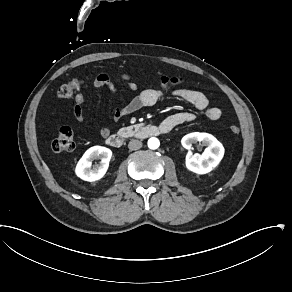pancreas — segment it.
<instances>
[{"mask_svg": "<svg viewBox=\"0 0 292 292\" xmlns=\"http://www.w3.org/2000/svg\"><path fill=\"white\" fill-rule=\"evenodd\" d=\"M140 129L139 125H132L130 127H123L119 129L118 134L122 137L134 136L135 132Z\"/></svg>", "mask_w": 292, "mask_h": 292, "instance_id": "1", "label": "pancreas"}]
</instances>
